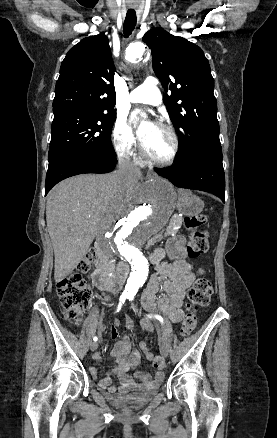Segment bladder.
<instances>
[{
  "instance_id": "obj_1",
  "label": "bladder",
  "mask_w": 277,
  "mask_h": 438,
  "mask_svg": "<svg viewBox=\"0 0 277 438\" xmlns=\"http://www.w3.org/2000/svg\"><path fill=\"white\" fill-rule=\"evenodd\" d=\"M160 382L145 387L142 390L134 391L129 394L110 393L108 398L113 405L123 409H137L148 405L159 392Z\"/></svg>"
}]
</instances>
